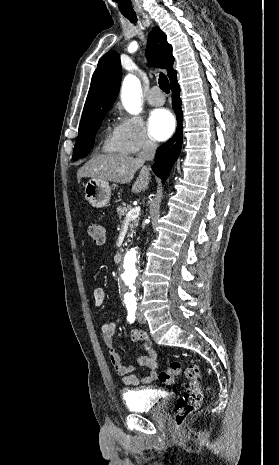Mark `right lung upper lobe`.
<instances>
[{
    "label": "right lung upper lobe",
    "instance_id": "obj_1",
    "mask_svg": "<svg viewBox=\"0 0 279 465\" xmlns=\"http://www.w3.org/2000/svg\"><path fill=\"white\" fill-rule=\"evenodd\" d=\"M146 55L154 66L168 71L171 84L177 80L176 71L173 69L172 46L159 27L153 28L148 35ZM121 76L119 54L115 51L107 52L100 59L92 76L79 127L89 123L102 111L111 108L118 95Z\"/></svg>",
    "mask_w": 279,
    "mask_h": 465
}]
</instances>
